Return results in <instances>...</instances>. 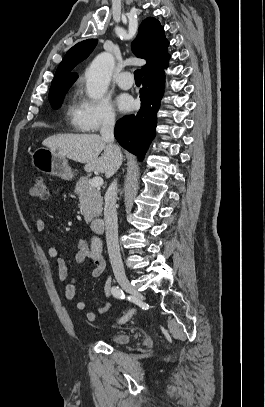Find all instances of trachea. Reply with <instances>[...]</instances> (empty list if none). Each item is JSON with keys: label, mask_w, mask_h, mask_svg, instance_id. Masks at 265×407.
Wrapping results in <instances>:
<instances>
[{"label": "trachea", "mask_w": 265, "mask_h": 407, "mask_svg": "<svg viewBox=\"0 0 265 407\" xmlns=\"http://www.w3.org/2000/svg\"><path fill=\"white\" fill-rule=\"evenodd\" d=\"M142 75H143L142 71L139 70V69H137V70L134 72V78H135V80H136V81H141V80H142Z\"/></svg>", "instance_id": "1"}]
</instances>
